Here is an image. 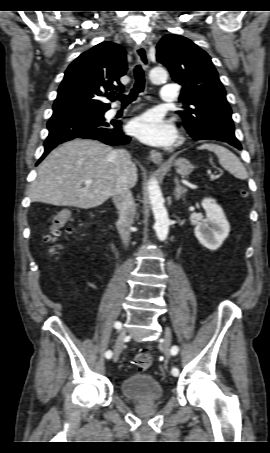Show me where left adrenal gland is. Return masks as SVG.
Returning <instances> with one entry per match:
<instances>
[{"label":"left adrenal gland","mask_w":270,"mask_h":453,"mask_svg":"<svg viewBox=\"0 0 270 453\" xmlns=\"http://www.w3.org/2000/svg\"><path fill=\"white\" fill-rule=\"evenodd\" d=\"M175 182V190H174V196L176 200H179L185 193H186V188L180 185V182L177 177L174 178Z\"/></svg>","instance_id":"obj_1"}]
</instances>
